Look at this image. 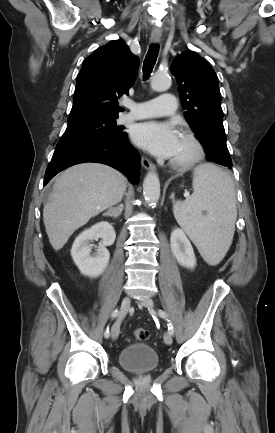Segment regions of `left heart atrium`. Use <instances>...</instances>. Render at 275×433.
Here are the masks:
<instances>
[{
  "mask_svg": "<svg viewBox=\"0 0 275 433\" xmlns=\"http://www.w3.org/2000/svg\"><path fill=\"white\" fill-rule=\"evenodd\" d=\"M131 136L135 144L162 158H171L174 155L179 139L173 125L162 121L138 123Z\"/></svg>",
  "mask_w": 275,
  "mask_h": 433,
  "instance_id": "39dd6f15",
  "label": "left heart atrium"
}]
</instances>
